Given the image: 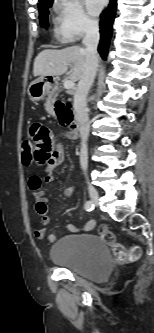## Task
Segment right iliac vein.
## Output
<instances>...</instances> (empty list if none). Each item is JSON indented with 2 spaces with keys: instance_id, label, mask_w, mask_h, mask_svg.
<instances>
[{
  "instance_id": "right-iliac-vein-1",
  "label": "right iliac vein",
  "mask_w": 154,
  "mask_h": 333,
  "mask_svg": "<svg viewBox=\"0 0 154 333\" xmlns=\"http://www.w3.org/2000/svg\"><path fill=\"white\" fill-rule=\"evenodd\" d=\"M88 192H89V196H90L92 203L97 205L98 201H99L98 191L96 190V188L94 186H92L89 183H88Z\"/></svg>"
}]
</instances>
